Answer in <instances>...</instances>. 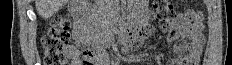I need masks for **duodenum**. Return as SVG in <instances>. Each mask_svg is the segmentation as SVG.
<instances>
[{
	"mask_svg": "<svg viewBox=\"0 0 232 65\" xmlns=\"http://www.w3.org/2000/svg\"><path fill=\"white\" fill-rule=\"evenodd\" d=\"M73 8L81 15L80 22L87 25V22L91 15V10L85 1H75ZM143 21L138 18L130 20L128 23L122 25L117 30H97L94 31L91 36V41L97 46V51L104 49L112 44L114 41H120L121 43H127L132 41L139 29L143 28Z\"/></svg>",
	"mask_w": 232,
	"mask_h": 65,
	"instance_id": "1",
	"label": "duodenum"
}]
</instances>
